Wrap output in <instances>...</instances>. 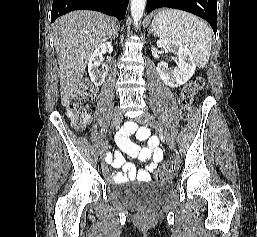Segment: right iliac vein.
<instances>
[{
  "label": "right iliac vein",
  "mask_w": 257,
  "mask_h": 237,
  "mask_svg": "<svg viewBox=\"0 0 257 237\" xmlns=\"http://www.w3.org/2000/svg\"><path fill=\"white\" fill-rule=\"evenodd\" d=\"M122 120V112L120 109L115 108L112 114V127H117ZM108 150V141L105 140L102 144V152L105 153Z\"/></svg>",
  "instance_id": "63e3f726"
}]
</instances>
